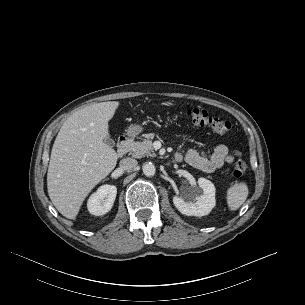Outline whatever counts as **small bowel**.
Listing matches in <instances>:
<instances>
[{
  "instance_id": "obj_1",
  "label": "small bowel",
  "mask_w": 305,
  "mask_h": 305,
  "mask_svg": "<svg viewBox=\"0 0 305 305\" xmlns=\"http://www.w3.org/2000/svg\"><path fill=\"white\" fill-rule=\"evenodd\" d=\"M176 162L185 160L189 165L204 172H214L227 164L233 162L234 157L230 154L226 145H218L212 153H206L196 149H189L185 154L176 152L174 154Z\"/></svg>"
}]
</instances>
